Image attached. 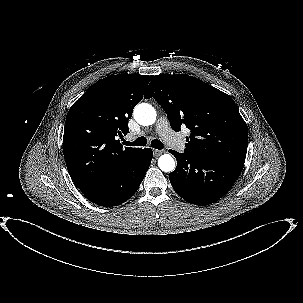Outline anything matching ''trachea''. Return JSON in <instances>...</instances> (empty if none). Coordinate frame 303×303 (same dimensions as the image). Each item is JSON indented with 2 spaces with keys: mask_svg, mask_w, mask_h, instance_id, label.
Listing matches in <instances>:
<instances>
[{
  "mask_svg": "<svg viewBox=\"0 0 303 303\" xmlns=\"http://www.w3.org/2000/svg\"><path fill=\"white\" fill-rule=\"evenodd\" d=\"M146 144L147 139L144 136L138 137L134 142H126V145L130 146H145ZM151 146L158 150H161L164 147L163 143L158 139L152 140Z\"/></svg>",
  "mask_w": 303,
  "mask_h": 303,
  "instance_id": "3493384b",
  "label": "trachea"
}]
</instances>
